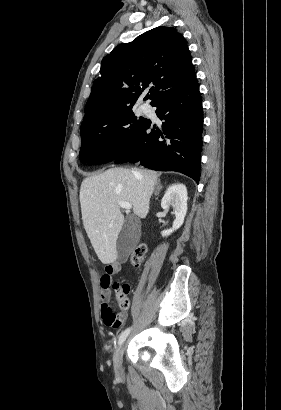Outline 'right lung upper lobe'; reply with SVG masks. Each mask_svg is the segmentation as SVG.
Segmentation results:
<instances>
[{
	"label": "right lung upper lobe",
	"instance_id": "cb5924a9",
	"mask_svg": "<svg viewBox=\"0 0 281 410\" xmlns=\"http://www.w3.org/2000/svg\"><path fill=\"white\" fill-rule=\"evenodd\" d=\"M196 81L184 37L175 28L160 26L122 43L105 56L95 79L82 122L106 112L133 106L143 90L153 84L144 100L151 105L160 97L187 88Z\"/></svg>",
	"mask_w": 281,
	"mask_h": 410
}]
</instances>
